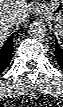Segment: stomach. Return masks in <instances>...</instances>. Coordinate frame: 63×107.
I'll list each match as a JSON object with an SVG mask.
<instances>
[{"instance_id":"obj_1","label":"stomach","mask_w":63,"mask_h":107,"mask_svg":"<svg viewBox=\"0 0 63 107\" xmlns=\"http://www.w3.org/2000/svg\"><path fill=\"white\" fill-rule=\"evenodd\" d=\"M36 14L46 16L54 23L55 29L63 32V0H54L51 3H41L34 8Z\"/></svg>"}]
</instances>
